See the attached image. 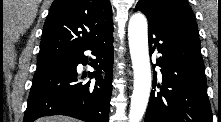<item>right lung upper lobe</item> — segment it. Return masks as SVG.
Instances as JSON below:
<instances>
[{
	"instance_id": "cb5924a9",
	"label": "right lung upper lobe",
	"mask_w": 221,
	"mask_h": 122,
	"mask_svg": "<svg viewBox=\"0 0 221 122\" xmlns=\"http://www.w3.org/2000/svg\"><path fill=\"white\" fill-rule=\"evenodd\" d=\"M112 31L109 0H54L37 60L67 57Z\"/></svg>"
}]
</instances>
